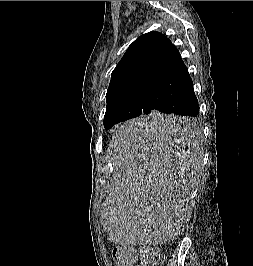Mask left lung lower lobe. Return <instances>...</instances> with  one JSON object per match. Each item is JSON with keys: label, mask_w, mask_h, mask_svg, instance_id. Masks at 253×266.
<instances>
[{"label": "left lung lower lobe", "mask_w": 253, "mask_h": 266, "mask_svg": "<svg viewBox=\"0 0 253 266\" xmlns=\"http://www.w3.org/2000/svg\"><path fill=\"white\" fill-rule=\"evenodd\" d=\"M156 110L186 118L162 121L147 117L141 120L144 131L168 140L189 135L194 130L192 118L199 114L198 101L188 69L172 43L150 81L141 112L153 114Z\"/></svg>", "instance_id": "0a47b994"}]
</instances>
